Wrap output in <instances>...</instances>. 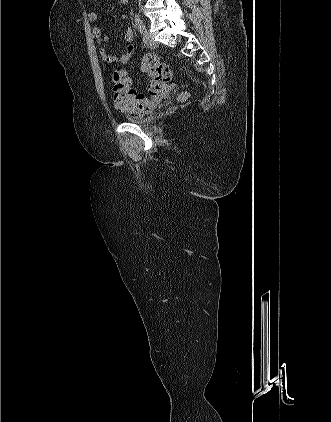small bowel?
I'll return each mask as SVG.
<instances>
[{"label": "small bowel", "mask_w": 331, "mask_h": 422, "mask_svg": "<svg viewBox=\"0 0 331 422\" xmlns=\"http://www.w3.org/2000/svg\"><path fill=\"white\" fill-rule=\"evenodd\" d=\"M121 3L123 0H119ZM88 18L94 24L98 21V13L96 11H90L88 13ZM122 19H126V15H122ZM92 32L97 39V43L100 46V55L104 63L106 64H118V65H125L129 62L133 52H134V33L131 29H127L124 33V39L128 43L124 52L120 53L119 55H111L107 52V50L103 47L109 41V36L103 35L101 29L94 25L92 28Z\"/></svg>", "instance_id": "c3829d8e"}]
</instances>
